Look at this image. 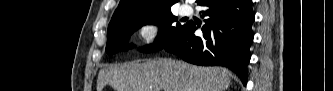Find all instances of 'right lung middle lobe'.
I'll return each instance as SVG.
<instances>
[{"instance_id": "right-lung-middle-lobe-1", "label": "right lung middle lobe", "mask_w": 333, "mask_h": 91, "mask_svg": "<svg viewBox=\"0 0 333 91\" xmlns=\"http://www.w3.org/2000/svg\"><path fill=\"white\" fill-rule=\"evenodd\" d=\"M160 24L155 42L141 49L142 52H156L167 46L184 28L170 10L151 15L130 18L109 23L107 31L106 52L113 55L127 50V40L130 35L143 25ZM133 45H129L132 48Z\"/></svg>"}]
</instances>
